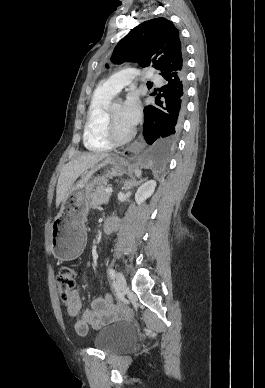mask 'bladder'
I'll list each match as a JSON object with an SVG mask.
<instances>
[{
	"instance_id": "31cf9c89",
	"label": "bladder",
	"mask_w": 265,
	"mask_h": 388,
	"mask_svg": "<svg viewBox=\"0 0 265 388\" xmlns=\"http://www.w3.org/2000/svg\"><path fill=\"white\" fill-rule=\"evenodd\" d=\"M133 336L132 326L128 323H112L97 332L93 343L96 348L107 352L129 347Z\"/></svg>"
}]
</instances>
